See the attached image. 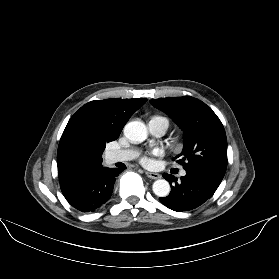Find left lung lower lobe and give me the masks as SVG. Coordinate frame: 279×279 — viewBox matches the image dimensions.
Listing matches in <instances>:
<instances>
[{
  "instance_id": "left-lung-lower-lobe-1",
  "label": "left lung lower lobe",
  "mask_w": 279,
  "mask_h": 279,
  "mask_svg": "<svg viewBox=\"0 0 279 279\" xmlns=\"http://www.w3.org/2000/svg\"><path fill=\"white\" fill-rule=\"evenodd\" d=\"M163 177L170 183L171 192L167 197L159 198L168 208L180 212L197 208L207 201L216 191L221 181L199 170H186V175L177 181L167 173Z\"/></svg>"
}]
</instances>
